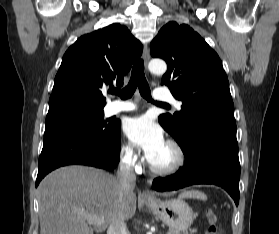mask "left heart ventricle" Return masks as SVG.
Segmentation results:
<instances>
[{
  "label": "left heart ventricle",
  "instance_id": "1",
  "mask_svg": "<svg viewBox=\"0 0 279 234\" xmlns=\"http://www.w3.org/2000/svg\"><path fill=\"white\" fill-rule=\"evenodd\" d=\"M174 160L172 149L165 145L150 161L157 166H167Z\"/></svg>",
  "mask_w": 279,
  "mask_h": 234
}]
</instances>
